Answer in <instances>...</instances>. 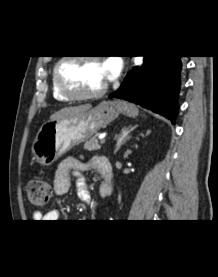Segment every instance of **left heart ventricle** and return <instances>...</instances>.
Listing matches in <instances>:
<instances>
[{
  "label": "left heart ventricle",
  "instance_id": "left-heart-ventricle-1",
  "mask_svg": "<svg viewBox=\"0 0 218 277\" xmlns=\"http://www.w3.org/2000/svg\"><path fill=\"white\" fill-rule=\"evenodd\" d=\"M66 85L73 91L87 93L98 90L107 82L103 63L92 60H71L61 68Z\"/></svg>",
  "mask_w": 218,
  "mask_h": 277
}]
</instances>
